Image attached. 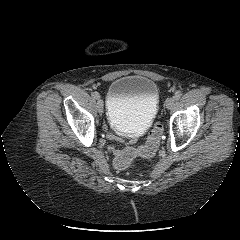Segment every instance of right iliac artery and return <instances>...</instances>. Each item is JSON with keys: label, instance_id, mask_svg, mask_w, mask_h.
I'll use <instances>...</instances> for the list:
<instances>
[{"label": "right iliac artery", "instance_id": "1", "mask_svg": "<svg viewBox=\"0 0 240 240\" xmlns=\"http://www.w3.org/2000/svg\"><path fill=\"white\" fill-rule=\"evenodd\" d=\"M92 97L95 98V99H98L99 98L98 92H93Z\"/></svg>", "mask_w": 240, "mask_h": 240}]
</instances>
